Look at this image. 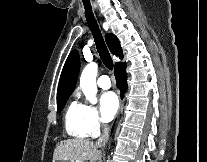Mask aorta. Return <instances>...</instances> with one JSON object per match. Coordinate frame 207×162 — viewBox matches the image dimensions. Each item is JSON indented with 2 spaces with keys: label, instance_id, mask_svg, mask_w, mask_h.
Masks as SVG:
<instances>
[{
  "label": "aorta",
  "instance_id": "aorta-1",
  "mask_svg": "<svg viewBox=\"0 0 207 162\" xmlns=\"http://www.w3.org/2000/svg\"><path fill=\"white\" fill-rule=\"evenodd\" d=\"M98 65L96 63L88 64L82 71L80 76V87L87 100L95 104L97 102L96 93V76Z\"/></svg>",
  "mask_w": 207,
  "mask_h": 162
}]
</instances>
